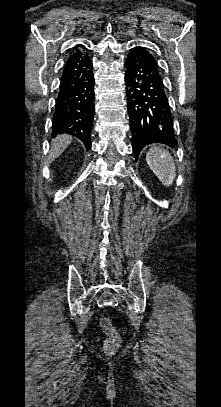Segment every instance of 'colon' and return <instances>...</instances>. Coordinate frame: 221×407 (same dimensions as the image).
Instances as JSON below:
<instances>
[{"label": "colon", "instance_id": "1", "mask_svg": "<svg viewBox=\"0 0 221 407\" xmlns=\"http://www.w3.org/2000/svg\"><path fill=\"white\" fill-rule=\"evenodd\" d=\"M100 326L104 332L105 338V351L107 354L111 355L114 353L116 348L119 346L121 341L120 333L113 326L111 321L107 318H102L100 321Z\"/></svg>", "mask_w": 221, "mask_h": 407}]
</instances>
